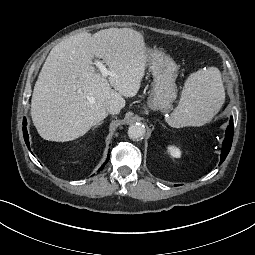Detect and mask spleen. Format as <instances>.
<instances>
[{
  "mask_svg": "<svg viewBox=\"0 0 255 255\" xmlns=\"http://www.w3.org/2000/svg\"><path fill=\"white\" fill-rule=\"evenodd\" d=\"M225 99L221 73L216 67L190 74L181 92L178 106L166 117L174 128L199 127L217 113Z\"/></svg>",
  "mask_w": 255,
  "mask_h": 255,
  "instance_id": "1",
  "label": "spleen"
}]
</instances>
